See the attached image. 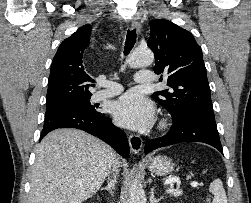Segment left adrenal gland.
I'll list each match as a JSON object with an SVG mask.
<instances>
[{
	"label": "left adrenal gland",
	"instance_id": "left-adrenal-gland-1",
	"mask_svg": "<svg viewBox=\"0 0 251 203\" xmlns=\"http://www.w3.org/2000/svg\"><path fill=\"white\" fill-rule=\"evenodd\" d=\"M162 199V197L156 199L154 197V188L151 189V196H150V203H158L160 200Z\"/></svg>",
	"mask_w": 251,
	"mask_h": 203
}]
</instances>
